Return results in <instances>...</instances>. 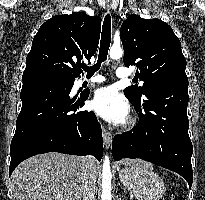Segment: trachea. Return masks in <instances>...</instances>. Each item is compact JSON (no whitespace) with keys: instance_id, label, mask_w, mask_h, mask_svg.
<instances>
[{"instance_id":"obj_1","label":"trachea","mask_w":205,"mask_h":200,"mask_svg":"<svg viewBox=\"0 0 205 200\" xmlns=\"http://www.w3.org/2000/svg\"><path fill=\"white\" fill-rule=\"evenodd\" d=\"M111 42V16L107 14L104 18L101 33L100 49L97 63L91 67L84 66L83 69L89 76L93 75L101 66V63L107 60L108 50Z\"/></svg>"}]
</instances>
